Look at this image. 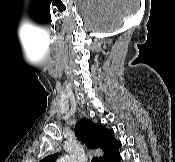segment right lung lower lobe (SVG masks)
I'll return each mask as SVG.
<instances>
[{
  "label": "right lung lower lobe",
  "instance_id": "98d812e1",
  "mask_svg": "<svg viewBox=\"0 0 175 162\" xmlns=\"http://www.w3.org/2000/svg\"><path fill=\"white\" fill-rule=\"evenodd\" d=\"M120 160H121L120 153L117 152L115 155H113V156L108 160V162H120Z\"/></svg>",
  "mask_w": 175,
  "mask_h": 162
}]
</instances>
